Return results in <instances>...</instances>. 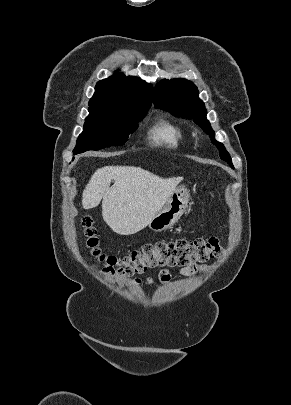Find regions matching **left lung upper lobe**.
Segmentation results:
<instances>
[{"label":"left lung upper lobe","instance_id":"left-lung-upper-lobe-1","mask_svg":"<svg viewBox=\"0 0 291 405\" xmlns=\"http://www.w3.org/2000/svg\"><path fill=\"white\" fill-rule=\"evenodd\" d=\"M197 87L185 79L162 80L154 90V105L173 115L193 119L203 130L210 135L211 141L219 150L220 158L233 168L231 157L224 145L214 139V131L206 120V109L199 99Z\"/></svg>","mask_w":291,"mask_h":405}]
</instances>
